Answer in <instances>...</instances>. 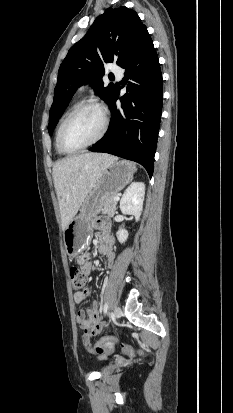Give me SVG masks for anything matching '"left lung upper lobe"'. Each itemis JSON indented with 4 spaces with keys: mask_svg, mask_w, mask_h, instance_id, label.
Returning <instances> with one entry per match:
<instances>
[{
    "mask_svg": "<svg viewBox=\"0 0 233 413\" xmlns=\"http://www.w3.org/2000/svg\"><path fill=\"white\" fill-rule=\"evenodd\" d=\"M147 33L137 13L124 6L108 8L96 18L87 34L69 49L60 65L49 113L50 135L76 89L82 84L90 82L109 103L115 88L112 84L104 87V63L113 62L115 56L121 66Z\"/></svg>",
    "mask_w": 233,
    "mask_h": 413,
    "instance_id": "obj_1",
    "label": "left lung upper lobe"
}]
</instances>
